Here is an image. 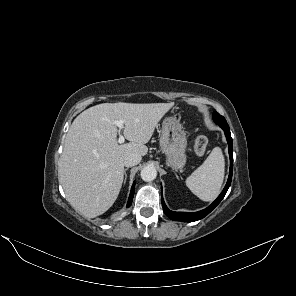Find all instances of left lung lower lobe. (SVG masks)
<instances>
[{
  "label": "left lung lower lobe",
  "mask_w": 296,
  "mask_h": 296,
  "mask_svg": "<svg viewBox=\"0 0 296 296\" xmlns=\"http://www.w3.org/2000/svg\"><path fill=\"white\" fill-rule=\"evenodd\" d=\"M225 132V136L228 142V150L230 156V173L228 177L227 184L223 189L222 193L218 196V198L206 209L194 212V213H187V212H173L167 208L163 201V197H161L162 206L164 213L172 220L175 221H183V222H193L200 220L207 216L224 198L228 188L230 187L231 180H232V171H233V141L230 134V129L227 123H217Z\"/></svg>",
  "instance_id": "obj_1"
}]
</instances>
